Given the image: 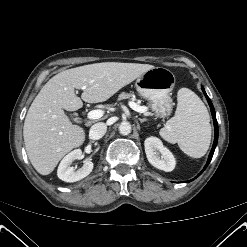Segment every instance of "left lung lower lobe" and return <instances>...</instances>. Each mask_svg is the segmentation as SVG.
Masks as SVG:
<instances>
[{
    "label": "left lung lower lobe",
    "instance_id": "left-lung-lower-lobe-1",
    "mask_svg": "<svg viewBox=\"0 0 247 247\" xmlns=\"http://www.w3.org/2000/svg\"><path fill=\"white\" fill-rule=\"evenodd\" d=\"M202 91H203V93H204V95H205V97H206V99H207V101H208V103H209L210 109H211V113H212V117H213V122H214L215 136H214V143H213L211 152H210V154H209L208 161H207V163H206L204 169L199 173V175L207 168L208 164L210 163V161H211V159H212V157H213V154H214V151H215L217 142H218V123H217V120H216L215 110H214V107H213V104H212L210 98L207 96V94H206V92H205V90H204L203 87H202ZM199 175H198V176H199ZM198 176H197V177H198ZM197 177H195V178H197ZM195 178H194V179H195Z\"/></svg>",
    "mask_w": 247,
    "mask_h": 247
}]
</instances>
